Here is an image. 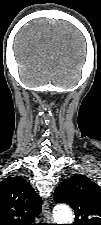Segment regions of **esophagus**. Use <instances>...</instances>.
<instances>
[{"instance_id":"1","label":"esophagus","mask_w":101,"mask_h":225,"mask_svg":"<svg viewBox=\"0 0 101 225\" xmlns=\"http://www.w3.org/2000/svg\"><path fill=\"white\" fill-rule=\"evenodd\" d=\"M42 211L44 214V217L48 223H51L53 221L50 210H49V204L47 200L44 201L43 206H42Z\"/></svg>"}]
</instances>
